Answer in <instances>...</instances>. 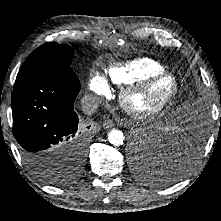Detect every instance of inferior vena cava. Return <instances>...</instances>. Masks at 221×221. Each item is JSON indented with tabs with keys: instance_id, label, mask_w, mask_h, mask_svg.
<instances>
[{
	"instance_id": "obj_1",
	"label": "inferior vena cava",
	"mask_w": 221,
	"mask_h": 221,
	"mask_svg": "<svg viewBox=\"0 0 221 221\" xmlns=\"http://www.w3.org/2000/svg\"><path fill=\"white\" fill-rule=\"evenodd\" d=\"M98 105L99 100L94 95L88 94L81 99L82 111L87 115L95 113L98 108Z\"/></svg>"
}]
</instances>
